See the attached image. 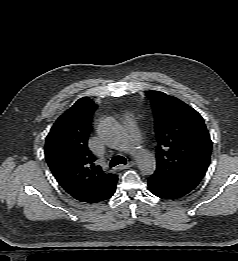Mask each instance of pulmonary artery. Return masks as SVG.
Returning <instances> with one entry per match:
<instances>
[{"label": "pulmonary artery", "instance_id": "1", "mask_svg": "<svg viewBox=\"0 0 238 261\" xmlns=\"http://www.w3.org/2000/svg\"><path fill=\"white\" fill-rule=\"evenodd\" d=\"M125 127L131 140L135 142L141 141L140 131L133 119L127 117L125 120Z\"/></svg>", "mask_w": 238, "mask_h": 261}]
</instances>
